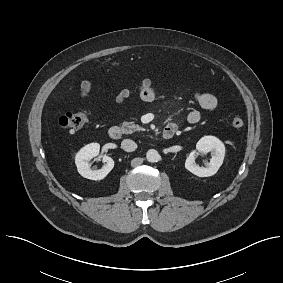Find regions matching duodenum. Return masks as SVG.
Instances as JSON below:
<instances>
[{
	"label": "duodenum",
	"instance_id": "duodenum-1",
	"mask_svg": "<svg viewBox=\"0 0 283 283\" xmlns=\"http://www.w3.org/2000/svg\"><path fill=\"white\" fill-rule=\"evenodd\" d=\"M177 131V127L174 124L167 125L163 132L162 137L164 139H171ZM109 136L111 139L118 140L122 136V131L118 126H113L109 129Z\"/></svg>",
	"mask_w": 283,
	"mask_h": 283
}]
</instances>
